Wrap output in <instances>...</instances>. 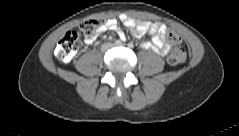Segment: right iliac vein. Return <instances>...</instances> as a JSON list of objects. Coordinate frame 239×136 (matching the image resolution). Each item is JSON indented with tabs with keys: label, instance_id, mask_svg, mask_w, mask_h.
Segmentation results:
<instances>
[{
	"label": "right iliac vein",
	"instance_id": "obj_1",
	"mask_svg": "<svg viewBox=\"0 0 239 136\" xmlns=\"http://www.w3.org/2000/svg\"><path fill=\"white\" fill-rule=\"evenodd\" d=\"M108 48H109V46H105V47L103 48V51L107 50Z\"/></svg>",
	"mask_w": 239,
	"mask_h": 136
}]
</instances>
